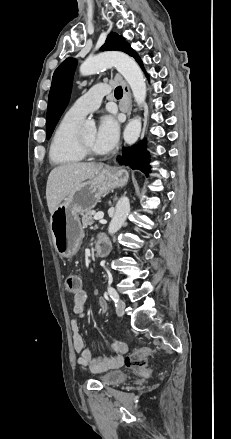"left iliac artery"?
<instances>
[{
    "mask_svg": "<svg viewBox=\"0 0 231 439\" xmlns=\"http://www.w3.org/2000/svg\"><path fill=\"white\" fill-rule=\"evenodd\" d=\"M108 294L110 295V297L112 298V300H113L115 303L118 302V300H119V295H118L117 291H116L113 287H111V286L108 287Z\"/></svg>",
    "mask_w": 231,
    "mask_h": 439,
    "instance_id": "left-iliac-artery-1",
    "label": "left iliac artery"
}]
</instances>
